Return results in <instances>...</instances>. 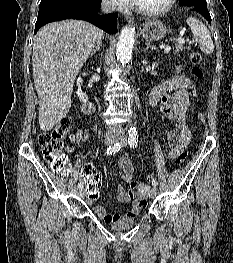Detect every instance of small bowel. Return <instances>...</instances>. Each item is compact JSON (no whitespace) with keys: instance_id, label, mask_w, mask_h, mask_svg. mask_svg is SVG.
Wrapping results in <instances>:
<instances>
[{"instance_id":"obj_1","label":"small bowel","mask_w":233,"mask_h":263,"mask_svg":"<svg viewBox=\"0 0 233 263\" xmlns=\"http://www.w3.org/2000/svg\"><path fill=\"white\" fill-rule=\"evenodd\" d=\"M192 82L189 78L180 74L177 68L175 73L158 84L150 93V104L159 108L176 125V129L170 130L167 134L170 147L169 158L174 159L179 153L185 152L191 140V130L187 126L186 116L189 108V91ZM88 137L87 130L79 129L69 136L67 152H73L75 147L84 146ZM118 168L121 179L128 184V188L118 187L116 199L119 202H132L130 211L126 217L135 216L144 206L145 198L148 195L149 185L140 184L134 177V166L130 157L123 154L118 159ZM95 171L90 164L82 167V171ZM99 175V174H98ZM90 204L94 199H89ZM95 214L106 223H113L121 219L118 213H109L105 207L97 205L94 207Z\"/></svg>"}]
</instances>
